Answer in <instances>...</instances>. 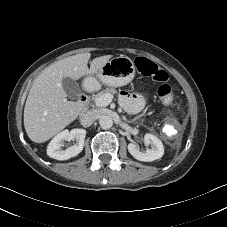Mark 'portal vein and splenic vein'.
Instances as JSON below:
<instances>
[{
	"label": "portal vein and splenic vein",
	"instance_id": "18ae733b",
	"mask_svg": "<svg viewBox=\"0 0 227 227\" xmlns=\"http://www.w3.org/2000/svg\"><path fill=\"white\" fill-rule=\"evenodd\" d=\"M113 100V95L112 94H105L99 98H96L95 104L99 107H104V106H108Z\"/></svg>",
	"mask_w": 227,
	"mask_h": 227
}]
</instances>
